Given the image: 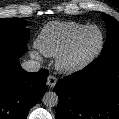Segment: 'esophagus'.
I'll return each instance as SVG.
<instances>
[{"label":"esophagus","instance_id":"34e87169","mask_svg":"<svg viewBox=\"0 0 119 119\" xmlns=\"http://www.w3.org/2000/svg\"><path fill=\"white\" fill-rule=\"evenodd\" d=\"M56 83H57L56 77H54L53 75H49L46 82L47 86L49 88H54Z\"/></svg>","mask_w":119,"mask_h":119}]
</instances>
